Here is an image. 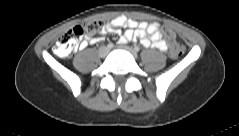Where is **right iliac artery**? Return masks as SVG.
Returning <instances> with one entry per match:
<instances>
[{
  "mask_svg": "<svg viewBox=\"0 0 239 136\" xmlns=\"http://www.w3.org/2000/svg\"><path fill=\"white\" fill-rule=\"evenodd\" d=\"M107 47H108L109 49H111V48L114 47V44H113V43H109V44L107 45Z\"/></svg>",
  "mask_w": 239,
  "mask_h": 136,
  "instance_id": "82829eb1",
  "label": "right iliac artery"
}]
</instances>
